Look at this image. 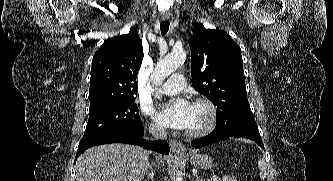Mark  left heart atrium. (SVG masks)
<instances>
[{
	"mask_svg": "<svg viewBox=\"0 0 333 181\" xmlns=\"http://www.w3.org/2000/svg\"><path fill=\"white\" fill-rule=\"evenodd\" d=\"M155 118L166 127L187 129L192 119V104L186 99L178 98L159 107Z\"/></svg>",
	"mask_w": 333,
	"mask_h": 181,
	"instance_id": "39dd6f15",
	"label": "left heart atrium"
}]
</instances>
